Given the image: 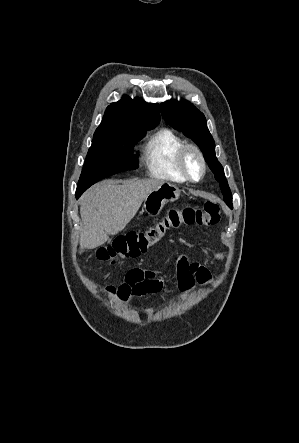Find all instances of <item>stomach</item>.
<instances>
[{
    "label": "stomach",
    "instance_id": "obj_1",
    "mask_svg": "<svg viewBox=\"0 0 299 443\" xmlns=\"http://www.w3.org/2000/svg\"><path fill=\"white\" fill-rule=\"evenodd\" d=\"M179 196L180 191L174 184L163 183L145 198L143 211L151 216L158 215L167 202H174Z\"/></svg>",
    "mask_w": 299,
    "mask_h": 443
}]
</instances>
